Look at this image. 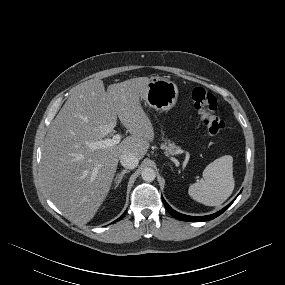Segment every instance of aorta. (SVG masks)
<instances>
[{
    "mask_svg": "<svg viewBox=\"0 0 285 285\" xmlns=\"http://www.w3.org/2000/svg\"><path fill=\"white\" fill-rule=\"evenodd\" d=\"M141 177L145 182H152L156 178L155 170L149 167H146L141 172Z\"/></svg>",
    "mask_w": 285,
    "mask_h": 285,
    "instance_id": "762f6f07",
    "label": "aorta"
}]
</instances>
